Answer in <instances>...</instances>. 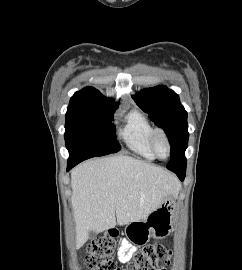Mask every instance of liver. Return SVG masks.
<instances>
[{"mask_svg": "<svg viewBox=\"0 0 242 270\" xmlns=\"http://www.w3.org/2000/svg\"><path fill=\"white\" fill-rule=\"evenodd\" d=\"M76 243L90 232L100 233L146 218L163 199L176 195L180 183L161 167L117 155L86 161L71 172Z\"/></svg>", "mask_w": 242, "mask_h": 270, "instance_id": "1", "label": "liver"}]
</instances>
